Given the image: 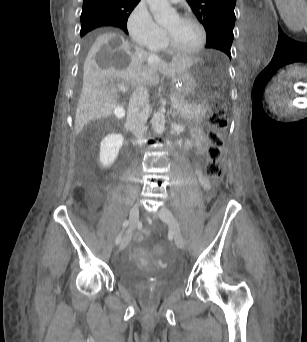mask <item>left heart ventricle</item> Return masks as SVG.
Instances as JSON below:
<instances>
[{"label": "left heart ventricle", "instance_id": "1", "mask_svg": "<svg viewBox=\"0 0 307 342\" xmlns=\"http://www.w3.org/2000/svg\"><path fill=\"white\" fill-rule=\"evenodd\" d=\"M167 37L170 46L178 50L195 48L201 40V30L193 22H182L179 18L174 19L161 29Z\"/></svg>", "mask_w": 307, "mask_h": 342}]
</instances>
